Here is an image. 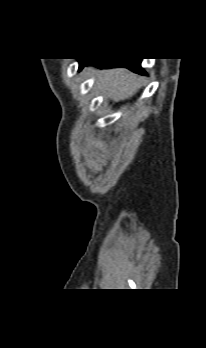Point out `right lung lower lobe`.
Returning a JSON list of instances; mask_svg holds the SVG:
<instances>
[{"label": "right lung lower lobe", "instance_id": "1", "mask_svg": "<svg viewBox=\"0 0 206 348\" xmlns=\"http://www.w3.org/2000/svg\"><path fill=\"white\" fill-rule=\"evenodd\" d=\"M95 65L98 68L125 67L141 75L146 72L141 68V59H80V68Z\"/></svg>", "mask_w": 206, "mask_h": 348}]
</instances>
